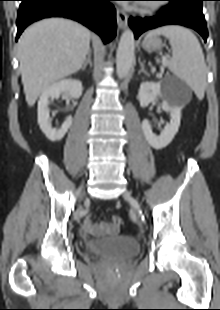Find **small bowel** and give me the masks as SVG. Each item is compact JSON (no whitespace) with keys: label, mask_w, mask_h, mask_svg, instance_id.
Wrapping results in <instances>:
<instances>
[{"label":"small bowel","mask_w":220,"mask_h":310,"mask_svg":"<svg viewBox=\"0 0 220 310\" xmlns=\"http://www.w3.org/2000/svg\"><path fill=\"white\" fill-rule=\"evenodd\" d=\"M85 232L95 235L113 234V227L106 222L94 223L90 217H86L82 222Z\"/></svg>","instance_id":"1"}]
</instances>
